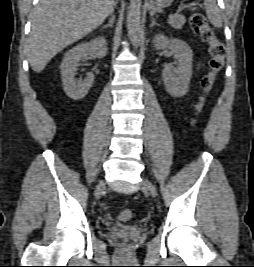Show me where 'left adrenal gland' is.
<instances>
[{
  "mask_svg": "<svg viewBox=\"0 0 254 267\" xmlns=\"http://www.w3.org/2000/svg\"><path fill=\"white\" fill-rule=\"evenodd\" d=\"M155 25H159V24L156 22L155 18L152 17V18H151V25H150V27L152 28V27L155 26Z\"/></svg>",
  "mask_w": 254,
  "mask_h": 267,
  "instance_id": "a2214340",
  "label": "left adrenal gland"
}]
</instances>
